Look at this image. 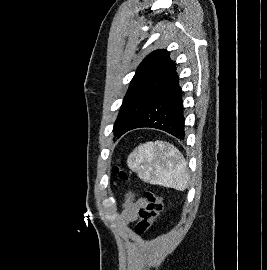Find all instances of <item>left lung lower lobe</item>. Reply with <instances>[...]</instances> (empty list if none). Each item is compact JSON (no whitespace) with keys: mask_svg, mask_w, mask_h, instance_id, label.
Instances as JSON below:
<instances>
[{"mask_svg":"<svg viewBox=\"0 0 267 270\" xmlns=\"http://www.w3.org/2000/svg\"><path fill=\"white\" fill-rule=\"evenodd\" d=\"M176 70L158 97L145 109L139 118L128 129L142 127L156 128L184 140V115L182 91L178 84Z\"/></svg>","mask_w":267,"mask_h":270,"instance_id":"0a47b994","label":"left lung lower lobe"}]
</instances>
